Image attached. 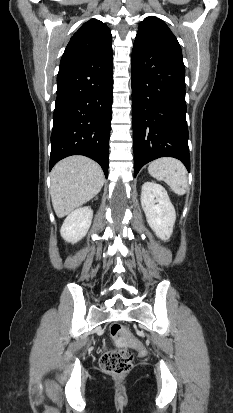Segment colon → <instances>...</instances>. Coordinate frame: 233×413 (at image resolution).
Segmentation results:
<instances>
[{
	"instance_id": "5ec220e1",
	"label": "colon",
	"mask_w": 233,
	"mask_h": 413,
	"mask_svg": "<svg viewBox=\"0 0 233 413\" xmlns=\"http://www.w3.org/2000/svg\"><path fill=\"white\" fill-rule=\"evenodd\" d=\"M112 336L126 334V330L120 324H113L110 327ZM132 347L140 354L145 355L146 349L137 340L131 341ZM133 355L130 350L105 349L100 358L101 369L111 375L121 376L128 373L132 368Z\"/></svg>"
}]
</instances>
